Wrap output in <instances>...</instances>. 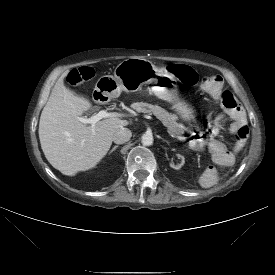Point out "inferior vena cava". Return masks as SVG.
Segmentation results:
<instances>
[{
	"label": "inferior vena cava",
	"mask_w": 275,
	"mask_h": 275,
	"mask_svg": "<svg viewBox=\"0 0 275 275\" xmlns=\"http://www.w3.org/2000/svg\"><path fill=\"white\" fill-rule=\"evenodd\" d=\"M132 136L131 131L128 128H120L113 135V141L116 144H123L130 140Z\"/></svg>",
	"instance_id": "602c4592"
}]
</instances>
